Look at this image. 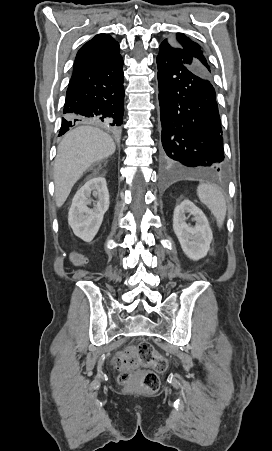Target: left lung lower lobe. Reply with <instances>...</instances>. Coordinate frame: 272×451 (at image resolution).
<instances>
[{
  "mask_svg": "<svg viewBox=\"0 0 272 451\" xmlns=\"http://www.w3.org/2000/svg\"><path fill=\"white\" fill-rule=\"evenodd\" d=\"M157 56L160 158L167 168H225L223 139L211 76L190 52L170 39Z\"/></svg>",
  "mask_w": 272,
  "mask_h": 451,
  "instance_id": "0a47b994",
  "label": "left lung lower lobe"
}]
</instances>
